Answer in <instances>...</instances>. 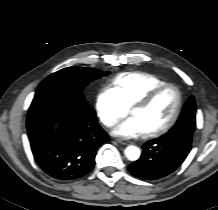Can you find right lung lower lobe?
Instances as JSON below:
<instances>
[{
  "mask_svg": "<svg viewBox=\"0 0 218 210\" xmlns=\"http://www.w3.org/2000/svg\"><path fill=\"white\" fill-rule=\"evenodd\" d=\"M59 123L57 131L52 129ZM26 127L32 154L40 168L58 180L89 173L100 145L109 140L92 107L55 98L33 100Z\"/></svg>",
  "mask_w": 218,
  "mask_h": 210,
  "instance_id": "98d812e1",
  "label": "right lung lower lobe"
}]
</instances>
